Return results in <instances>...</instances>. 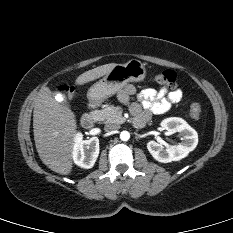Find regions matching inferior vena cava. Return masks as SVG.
Wrapping results in <instances>:
<instances>
[{"mask_svg":"<svg viewBox=\"0 0 233 233\" xmlns=\"http://www.w3.org/2000/svg\"><path fill=\"white\" fill-rule=\"evenodd\" d=\"M119 128L118 124L108 123L105 125L104 130L108 133H115Z\"/></svg>","mask_w":233,"mask_h":233,"instance_id":"602c4592","label":"inferior vena cava"}]
</instances>
